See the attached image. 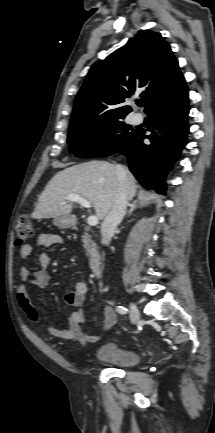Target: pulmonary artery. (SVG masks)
Masks as SVG:
<instances>
[{"label": "pulmonary artery", "mask_w": 215, "mask_h": 433, "mask_svg": "<svg viewBox=\"0 0 215 433\" xmlns=\"http://www.w3.org/2000/svg\"><path fill=\"white\" fill-rule=\"evenodd\" d=\"M141 120H142V117H141V115L138 114V113H136V114H134V115L132 116V121H133L135 124L140 123Z\"/></svg>", "instance_id": "pulmonary-artery-1"}]
</instances>
